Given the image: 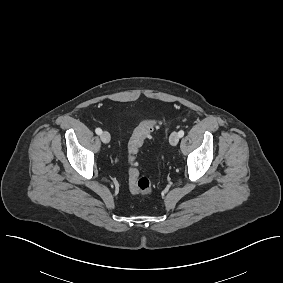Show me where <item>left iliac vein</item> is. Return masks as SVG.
I'll list each match as a JSON object with an SVG mask.
<instances>
[{"label":"left iliac vein","mask_w":283,"mask_h":283,"mask_svg":"<svg viewBox=\"0 0 283 283\" xmlns=\"http://www.w3.org/2000/svg\"><path fill=\"white\" fill-rule=\"evenodd\" d=\"M179 138H180V137H179V135H178L177 132H172L171 135H170V137H169V142H170V144H171L172 146L177 145L178 142H179Z\"/></svg>","instance_id":"obj_1"}]
</instances>
